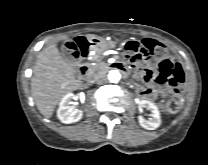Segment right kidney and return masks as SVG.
<instances>
[{
    "label": "right kidney",
    "mask_w": 208,
    "mask_h": 165,
    "mask_svg": "<svg viewBox=\"0 0 208 165\" xmlns=\"http://www.w3.org/2000/svg\"><path fill=\"white\" fill-rule=\"evenodd\" d=\"M74 98L75 96L73 93H68L62 98L59 104L57 117L62 123L70 124L78 122L83 116V111L74 108L72 105V100Z\"/></svg>",
    "instance_id": "1"
}]
</instances>
